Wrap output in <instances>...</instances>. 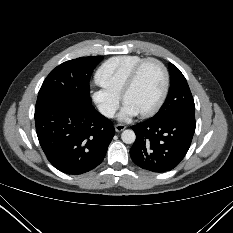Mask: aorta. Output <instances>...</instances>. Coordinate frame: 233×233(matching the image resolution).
<instances>
[{
    "label": "aorta",
    "mask_w": 233,
    "mask_h": 233,
    "mask_svg": "<svg viewBox=\"0 0 233 233\" xmlns=\"http://www.w3.org/2000/svg\"><path fill=\"white\" fill-rule=\"evenodd\" d=\"M121 139L126 144H132L134 143L136 139L135 132L133 130H124L121 134Z\"/></svg>",
    "instance_id": "aorta-1"
}]
</instances>
